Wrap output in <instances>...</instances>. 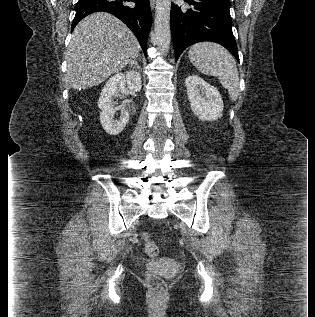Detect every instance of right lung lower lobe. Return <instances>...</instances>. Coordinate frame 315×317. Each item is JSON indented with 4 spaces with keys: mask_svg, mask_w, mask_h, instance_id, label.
Segmentation results:
<instances>
[{
    "mask_svg": "<svg viewBox=\"0 0 315 317\" xmlns=\"http://www.w3.org/2000/svg\"><path fill=\"white\" fill-rule=\"evenodd\" d=\"M128 2H134L135 6H129ZM75 11L72 30L87 15L105 11L118 17L131 29L146 54L147 36L152 23L149 0H79Z\"/></svg>",
    "mask_w": 315,
    "mask_h": 317,
    "instance_id": "98d812e1",
    "label": "right lung lower lobe"
}]
</instances>
